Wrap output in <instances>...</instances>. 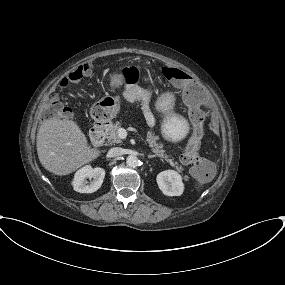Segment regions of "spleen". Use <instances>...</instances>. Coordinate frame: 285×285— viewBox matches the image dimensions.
I'll use <instances>...</instances> for the list:
<instances>
[{
  "instance_id": "obj_1",
  "label": "spleen",
  "mask_w": 285,
  "mask_h": 285,
  "mask_svg": "<svg viewBox=\"0 0 285 285\" xmlns=\"http://www.w3.org/2000/svg\"><path fill=\"white\" fill-rule=\"evenodd\" d=\"M203 185V182L202 181H198V186H201Z\"/></svg>"
}]
</instances>
